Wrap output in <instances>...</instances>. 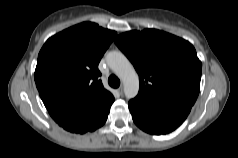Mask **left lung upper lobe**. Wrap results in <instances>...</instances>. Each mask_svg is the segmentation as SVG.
<instances>
[{
    "label": "left lung upper lobe",
    "mask_w": 238,
    "mask_h": 158,
    "mask_svg": "<svg viewBox=\"0 0 238 158\" xmlns=\"http://www.w3.org/2000/svg\"><path fill=\"white\" fill-rule=\"evenodd\" d=\"M115 43L139 74L134 100L153 108L195 103L202 63L192 44L156 29L123 33Z\"/></svg>",
    "instance_id": "obj_1"
}]
</instances>
